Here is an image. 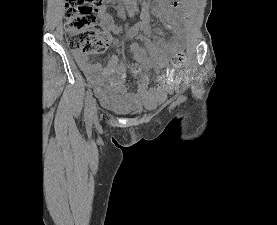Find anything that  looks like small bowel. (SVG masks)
I'll list each match as a JSON object with an SVG mask.
<instances>
[{
	"mask_svg": "<svg viewBox=\"0 0 277 225\" xmlns=\"http://www.w3.org/2000/svg\"><path fill=\"white\" fill-rule=\"evenodd\" d=\"M151 0H147L142 5L141 22L134 25L124 33L127 40H136L130 45V52L137 60L147 59L153 72L157 74V86L149 88L146 80H143L138 87V91L132 97L139 102L159 103L174 90V82L171 76L165 74L168 57L173 50L172 43L166 38V31H175L179 20L187 17L182 6L175 10L167 5L164 0H155L156 5L152 8L153 14L163 24L162 28H152L149 25ZM99 22L102 27V37L107 46L111 45L112 34L118 32L119 27L113 19L107 15L103 8H97ZM142 34H139V31ZM76 60L89 80L92 87L98 94L106 95L107 87L118 83L125 66L119 62L117 56L109 58L105 65L94 61L87 55L77 54Z\"/></svg>",
	"mask_w": 277,
	"mask_h": 225,
	"instance_id": "1",
	"label": "small bowel"
}]
</instances>
